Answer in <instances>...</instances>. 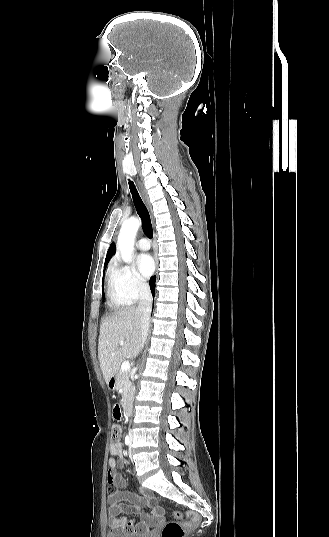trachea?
I'll return each instance as SVG.
<instances>
[{
    "mask_svg": "<svg viewBox=\"0 0 329 537\" xmlns=\"http://www.w3.org/2000/svg\"><path fill=\"white\" fill-rule=\"evenodd\" d=\"M129 187H130V191H131V194H132V199H133V202L135 204V207H136V210H137V213L138 215L140 216L141 220H142V225H143V230L145 232V234L147 235V237L149 238H152L153 237V229H152V224H151V221H150V216H149V213H148V210L147 208L145 207L134 183L129 180Z\"/></svg>",
    "mask_w": 329,
    "mask_h": 537,
    "instance_id": "3493384b",
    "label": "trachea"
}]
</instances>
